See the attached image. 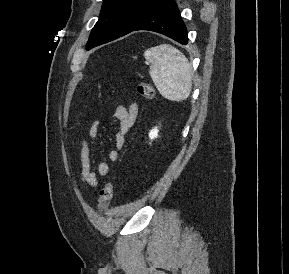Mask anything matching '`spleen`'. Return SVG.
Returning <instances> with one entry per match:
<instances>
[{
	"label": "spleen",
	"instance_id": "3e777b00",
	"mask_svg": "<svg viewBox=\"0 0 289 274\" xmlns=\"http://www.w3.org/2000/svg\"><path fill=\"white\" fill-rule=\"evenodd\" d=\"M145 59L151 64L149 74L160 94L171 101L188 98L192 89V68L188 59L169 44L147 49Z\"/></svg>",
	"mask_w": 289,
	"mask_h": 274
}]
</instances>
